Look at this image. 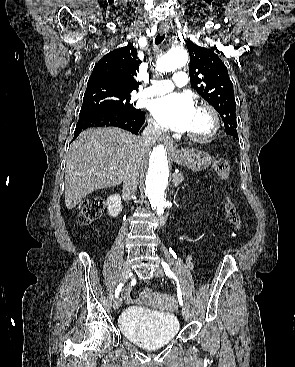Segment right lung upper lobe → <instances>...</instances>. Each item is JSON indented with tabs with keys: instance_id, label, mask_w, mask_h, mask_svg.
Returning <instances> with one entry per match:
<instances>
[{
	"instance_id": "1",
	"label": "right lung upper lobe",
	"mask_w": 295,
	"mask_h": 367,
	"mask_svg": "<svg viewBox=\"0 0 295 367\" xmlns=\"http://www.w3.org/2000/svg\"><path fill=\"white\" fill-rule=\"evenodd\" d=\"M137 59V51L132 44L111 51L95 65L87 89L103 88L121 94L138 90L139 83L134 76L141 62Z\"/></svg>"
}]
</instances>
